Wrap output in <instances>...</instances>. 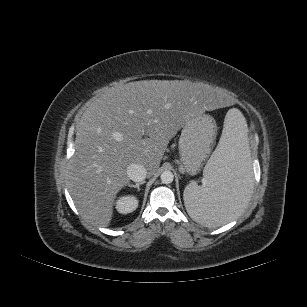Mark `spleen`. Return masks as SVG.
Wrapping results in <instances>:
<instances>
[{
  "mask_svg": "<svg viewBox=\"0 0 307 307\" xmlns=\"http://www.w3.org/2000/svg\"><path fill=\"white\" fill-rule=\"evenodd\" d=\"M250 165L245 117L231 109L225 116L220 141L204 168L202 185L192 181L185 187L183 198L190 217L209 228L235 219L251 198Z\"/></svg>",
  "mask_w": 307,
  "mask_h": 307,
  "instance_id": "1",
  "label": "spleen"
}]
</instances>
